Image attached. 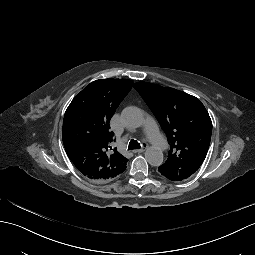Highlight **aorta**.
Instances as JSON below:
<instances>
[{"mask_svg":"<svg viewBox=\"0 0 255 255\" xmlns=\"http://www.w3.org/2000/svg\"><path fill=\"white\" fill-rule=\"evenodd\" d=\"M121 116L124 124L130 128H138L144 123L142 111L134 106L126 107ZM145 158L151 166L158 167L163 163V152L157 147H149L145 152Z\"/></svg>","mask_w":255,"mask_h":255,"instance_id":"aorta-1","label":"aorta"}]
</instances>
